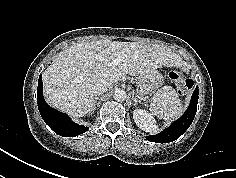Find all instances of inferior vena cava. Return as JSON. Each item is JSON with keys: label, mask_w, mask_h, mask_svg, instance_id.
Returning <instances> with one entry per match:
<instances>
[{"label": "inferior vena cava", "mask_w": 236, "mask_h": 178, "mask_svg": "<svg viewBox=\"0 0 236 178\" xmlns=\"http://www.w3.org/2000/svg\"><path fill=\"white\" fill-rule=\"evenodd\" d=\"M110 86H111V83H109V82H104L102 84H98L95 91H94L95 96H99V95L105 93L109 89Z\"/></svg>", "instance_id": "obj_1"}]
</instances>
